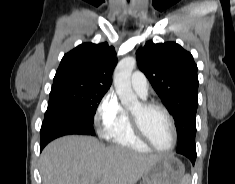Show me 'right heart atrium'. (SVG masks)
Listing matches in <instances>:
<instances>
[{
	"label": "right heart atrium",
	"mask_w": 235,
	"mask_h": 184,
	"mask_svg": "<svg viewBox=\"0 0 235 184\" xmlns=\"http://www.w3.org/2000/svg\"><path fill=\"white\" fill-rule=\"evenodd\" d=\"M126 116L116 94L108 91L97 104L92 116L97 135L102 139L113 138Z\"/></svg>",
	"instance_id": "obj_1"
}]
</instances>
